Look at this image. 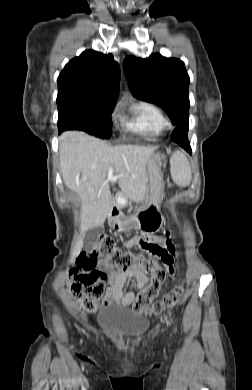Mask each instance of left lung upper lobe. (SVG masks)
<instances>
[{
	"instance_id": "5c2ea615",
	"label": "left lung upper lobe",
	"mask_w": 252,
	"mask_h": 390,
	"mask_svg": "<svg viewBox=\"0 0 252 390\" xmlns=\"http://www.w3.org/2000/svg\"><path fill=\"white\" fill-rule=\"evenodd\" d=\"M123 69L134 97L162 107L178 131L188 130L189 75L184 63L176 58L155 54L148 59L128 56Z\"/></svg>"
}]
</instances>
